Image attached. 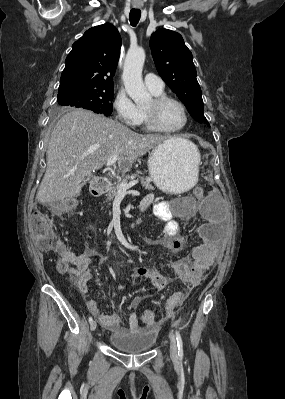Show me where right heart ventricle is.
Returning <instances> with one entry per match:
<instances>
[{"label":"right heart ventricle","instance_id":"obj_1","mask_svg":"<svg viewBox=\"0 0 285 399\" xmlns=\"http://www.w3.org/2000/svg\"><path fill=\"white\" fill-rule=\"evenodd\" d=\"M154 96H159L163 94V90L159 92H152ZM140 124L144 126V129L147 131H154L148 124L147 119H146V114L143 109H140Z\"/></svg>","mask_w":285,"mask_h":399}]
</instances>
